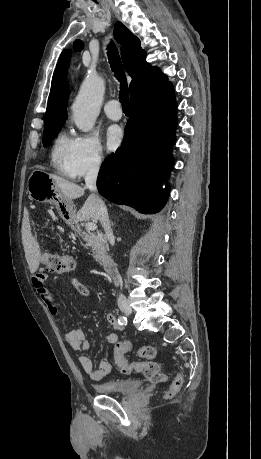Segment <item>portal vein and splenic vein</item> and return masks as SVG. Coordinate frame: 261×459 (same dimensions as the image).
<instances>
[{"label": "portal vein and splenic vein", "instance_id": "1", "mask_svg": "<svg viewBox=\"0 0 261 459\" xmlns=\"http://www.w3.org/2000/svg\"><path fill=\"white\" fill-rule=\"evenodd\" d=\"M86 229L87 230H91V231H94L97 229V226L95 223H92V222H89L86 224Z\"/></svg>", "mask_w": 261, "mask_h": 459}]
</instances>
